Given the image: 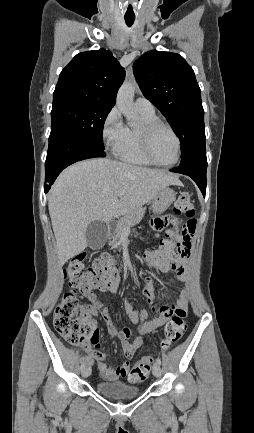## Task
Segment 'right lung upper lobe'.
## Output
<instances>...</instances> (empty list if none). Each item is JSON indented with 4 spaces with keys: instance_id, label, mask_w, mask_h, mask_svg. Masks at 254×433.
Segmentation results:
<instances>
[{
    "instance_id": "cb5924a9",
    "label": "right lung upper lobe",
    "mask_w": 254,
    "mask_h": 433,
    "mask_svg": "<svg viewBox=\"0 0 254 433\" xmlns=\"http://www.w3.org/2000/svg\"><path fill=\"white\" fill-rule=\"evenodd\" d=\"M125 70L105 49L77 54L62 70L53 93V105L67 101L115 105Z\"/></svg>"
}]
</instances>
